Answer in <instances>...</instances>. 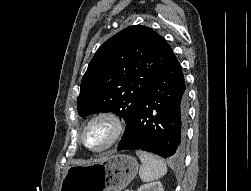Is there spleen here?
Returning <instances> with one entry per match:
<instances>
[{"label": "spleen", "mask_w": 251, "mask_h": 191, "mask_svg": "<svg viewBox=\"0 0 251 191\" xmlns=\"http://www.w3.org/2000/svg\"><path fill=\"white\" fill-rule=\"evenodd\" d=\"M136 155L141 159L139 175L142 181H154L167 173V165L161 157L148 153V151H136Z\"/></svg>", "instance_id": "1"}]
</instances>
